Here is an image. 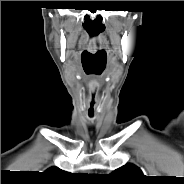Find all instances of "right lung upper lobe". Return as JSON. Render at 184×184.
I'll list each match as a JSON object with an SVG mask.
<instances>
[{
	"label": "right lung upper lobe",
	"instance_id": "cb5924a9",
	"mask_svg": "<svg viewBox=\"0 0 184 184\" xmlns=\"http://www.w3.org/2000/svg\"><path fill=\"white\" fill-rule=\"evenodd\" d=\"M49 175H56V176H61L63 171L57 167H51L48 170L45 171Z\"/></svg>",
	"mask_w": 184,
	"mask_h": 184
}]
</instances>
